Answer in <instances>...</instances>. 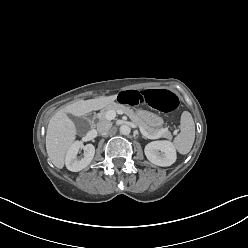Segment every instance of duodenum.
<instances>
[{"label":"duodenum","instance_id":"obj_1","mask_svg":"<svg viewBox=\"0 0 248 248\" xmlns=\"http://www.w3.org/2000/svg\"><path fill=\"white\" fill-rule=\"evenodd\" d=\"M95 117V112H90L89 114H88V118L89 119H92V118H94Z\"/></svg>","mask_w":248,"mask_h":248}]
</instances>
